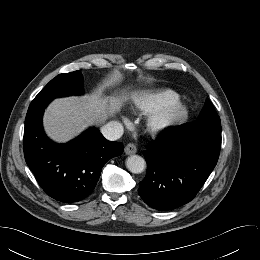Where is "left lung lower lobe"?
I'll use <instances>...</instances> for the list:
<instances>
[{"instance_id": "1", "label": "left lung lower lobe", "mask_w": 260, "mask_h": 260, "mask_svg": "<svg viewBox=\"0 0 260 260\" xmlns=\"http://www.w3.org/2000/svg\"><path fill=\"white\" fill-rule=\"evenodd\" d=\"M221 136L186 127L171 130L143 152L147 173L139 195L150 207L165 211L191 201L217 164Z\"/></svg>"}]
</instances>
